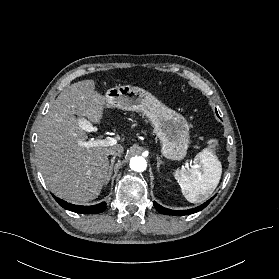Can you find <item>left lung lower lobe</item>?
<instances>
[{"mask_svg":"<svg viewBox=\"0 0 279 279\" xmlns=\"http://www.w3.org/2000/svg\"><path fill=\"white\" fill-rule=\"evenodd\" d=\"M214 197H212L207 202H205L204 204H202V205H200L196 208H193V209H190V210H183V211L170 210V209L162 207L161 205H159L156 202H153V205L155 206L157 211H159L160 213L165 214V215H189V214L196 213V212L201 211L202 209H204L211 202V200Z\"/></svg>","mask_w":279,"mask_h":279,"instance_id":"0a47b994","label":"left lung lower lobe"}]
</instances>
